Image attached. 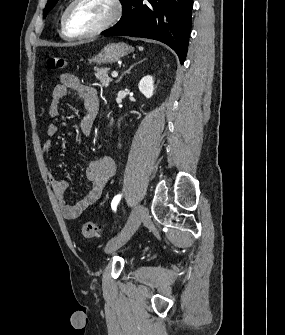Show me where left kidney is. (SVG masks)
<instances>
[{"label": "left kidney", "instance_id": "1", "mask_svg": "<svg viewBox=\"0 0 285 335\" xmlns=\"http://www.w3.org/2000/svg\"><path fill=\"white\" fill-rule=\"evenodd\" d=\"M138 88L145 98H151L154 94V80L152 76H144V78L140 80Z\"/></svg>", "mask_w": 285, "mask_h": 335}]
</instances>
